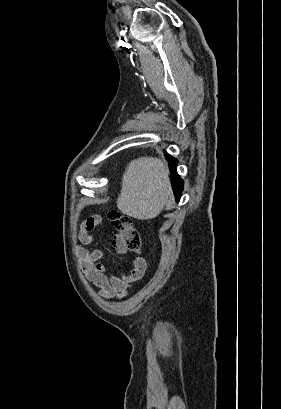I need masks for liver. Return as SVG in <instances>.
Listing matches in <instances>:
<instances>
[{"instance_id":"liver-1","label":"liver","mask_w":281,"mask_h":409,"mask_svg":"<svg viewBox=\"0 0 281 409\" xmlns=\"http://www.w3.org/2000/svg\"><path fill=\"white\" fill-rule=\"evenodd\" d=\"M168 166L153 156L131 160L122 176L117 207L133 219H155L172 194Z\"/></svg>"}]
</instances>
